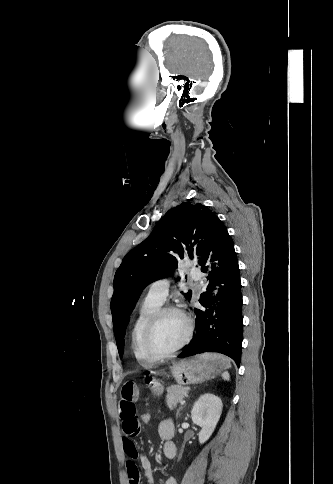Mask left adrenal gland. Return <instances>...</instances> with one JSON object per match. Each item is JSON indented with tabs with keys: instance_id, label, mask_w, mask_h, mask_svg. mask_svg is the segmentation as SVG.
Returning a JSON list of instances; mask_svg holds the SVG:
<instances>
[{
	"instance_id": "1",
	"label": "left adrenal gland",
	"mask_w": 333,
	"mask_h": 484,
	"mask_svg": "<svg viewBox=\"0 0 333 484\" xmlns=\"http://www.w3.org/2000/svg\"><path fill=\"white\" fill-rule=\"evenodd\" d=\"M180 409H182V408H180ZM180 409H179V410L177 411V413H176V418H178V415H179V411H180Z\"/></svg>"
}]
</instances>
